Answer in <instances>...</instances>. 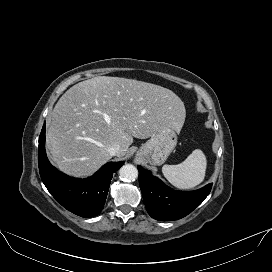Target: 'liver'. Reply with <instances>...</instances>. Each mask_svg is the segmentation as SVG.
I'll return each instance as SVG.
<instances>
[{
	"mask_svg": "<svg viewBox=\"0 0 272 272\" xmlns=\"http://www.w3.org/2000/svg\"><path fill=\"white\" fill-rule=\"evenodd\" d=\"M182 100L171 90L134 79L98 76L79 82L58 100L46 145L51 162L64 173L83 177L109 161L108 148L120 145L122 158L133 137L147 139L166 126L181 130Z\"/></svg>",
	"mask_w": 272,
	"mask_h": 272,
	"instance_id": "liver-1",
	"label": "liver"
}]
</instances>
